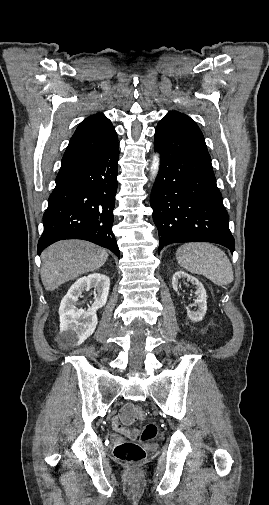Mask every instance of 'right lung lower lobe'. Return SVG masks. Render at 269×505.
<instances>
[{"label":"right lung lower lobe","mask_w":269,"mask_h":505,"mask_svg":"<svg viewBox=\"0 0 269 505\" xmlns=\"http://www.w3.org/2000/svg\"><path fill=\"white\" fill-rule=\"evenodd\" d=\"M118 159L117 142L99 155L61 166L43 215L44 231L38 241V254L56 241L83 239L120 257L112 232Z\"/></svg>","instance_id":"1"}]
</instances>
